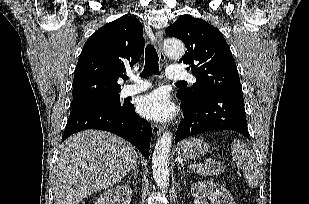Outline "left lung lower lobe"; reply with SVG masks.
Listing matches in <instances>:
<instances>
[{
	"mask_svg": "<svg viewBox=\"0 0 309 204\" xmlns=\"http://www.w3.org/2000/svg\"><path fill=\"white\" fill-rule=\"evenodd\" d=\"M180 99L184 119L176 131L175 143L212 130H232L249 137L242 93L216 92L193 100Z\"/></svg>",
	"mask_w": 309,
	"mask_h": 204,
	"instance_id": "obj_1",
	"label": "left lung lower lobe"
}]
</instances>
